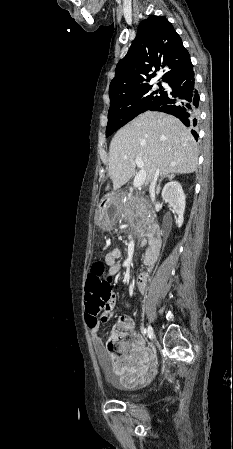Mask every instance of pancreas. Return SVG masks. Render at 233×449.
<instances>
[{
  "instance_id": "1",
  "label": "pancreas",
  "mask_w": 233,
  "mask_h": 449,
  "mask_svg": "<svg viewBox=\"0 0 233 449\" xmlns=\"http://www.w3.org/2000/svg\"><path fill=\"white\" fill-rule=\"evenodd\" d=\"M152 212L147 200L139 194H129L123 205V216L130 226L139 228L152 222Z\"/></svg>"
}]
</instances>
